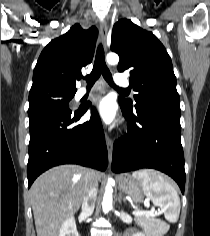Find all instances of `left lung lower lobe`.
Wrapping results in <instances>:
<instances>
[{"instance_id": "left-lung-lower-lobe-1", "label": "left lung lower lobe", "mask_w": 210, "mask_h": 236, "mask_svg": "<svg viewBox=\"0 0 210 236\" xmlns=\"http://www.w3.org/2000/svg\"><path fill=\"white\" fill-rule=\"evenodd\" d=\"M119 104L128 128L127 134L114 143L112 170L120 173L140 168L157 169L171 176L184 193L180 106L148 102L131 110L120 98Z\"/></svg>"}]
</instances>
